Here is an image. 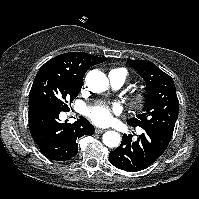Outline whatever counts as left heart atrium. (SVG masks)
<instances>
[{
	"label": "left heart atrium",
	"mask_w": 199,
	"mask_h": 199,
	"mask_svg": "<svg viewBox=\"0 0 199 199\" xmlns=\"http://www.w3.org/2000/svg\"><path fill=\"white\" fill-rule=\"evenodd\" d=\"M118 112L117 108H110L106 105H96L87 111L91 121L97 125H107L112 121L113 115Z\"/></svg>",
	"instance_id": "obj_1"
}]
</instances>
